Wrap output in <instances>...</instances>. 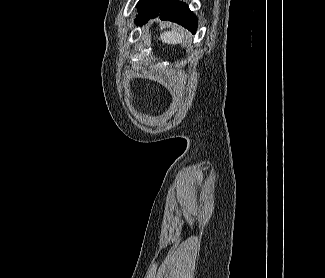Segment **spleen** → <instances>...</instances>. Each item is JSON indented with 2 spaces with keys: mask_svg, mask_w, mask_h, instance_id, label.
Returning <instances> with one entry per match:
<instances>
[{
  "mask_svg": "<svg viewBox=\"0 0 325 278\" xmlns=\"http://www.w3.org/2000/svg\"><path fill=\"white\" fill-rule=\"evenodd\" d=\"M160 40L167 44H179L185 40V33L180 29L173 31H167L160 35Z\"/></svg>",
  "mask_w": 325,
  "mask_h": 278,
  "instance_id": "obj_1",
  "label": "spleen"
}]
</instances>
